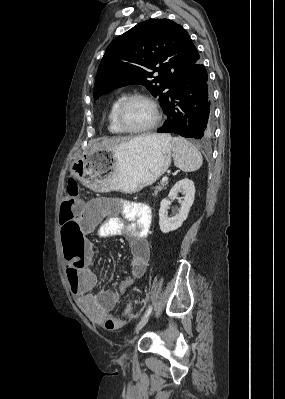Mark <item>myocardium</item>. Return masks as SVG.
Returning a JSON list of instances; mask_svg holds the SVG:
<instances>
[{
	"mask_svg": "<svg viewBox=\"0 0 285 399\" xmlns=\"http://www.w3.org/2000/svg\"><path fill=\"white\" fill-rule=\"evenodd\" d=\"M134 100H144L148 102L154 109V119L151 123L148 125L141 127V128H131L126 125L124 122V111L126 107ZM116 120L119 125V127L127 132V133H135V134H140V133H145L153 128H155L161 121V111L160 107L157 104V102L149 95L146 94H141V93H134L129 96H127L118 106L117 111H116Z\"/></svg>",
	"mask_w": 285,
	"mask_h": 399,
	"instance_id": "myocardium-1",
	"label": "myocardium"
}]
</instances>
